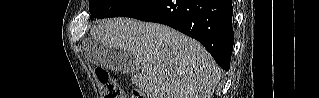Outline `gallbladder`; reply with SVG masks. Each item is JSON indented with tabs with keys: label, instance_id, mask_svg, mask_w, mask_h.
<instances>
[{
	"label": "gallbladder",
	"instance_id": "bac80fb5",
	"mask_svg": "<svg viewBox=\"0 0 319 98\" xmlns=\"http://www.w3.org/2000/svg\"><path fill=\"white\" fill-rule=\"evenodd\" d=\"M87 57L93 60L94 64L123 74L134 73L138 66L134 55L105 44L96 45L94 49L87 51Z\"/></svg>",
	"mask_w": 319,
	"mask_h": 98
}]
</instances>
